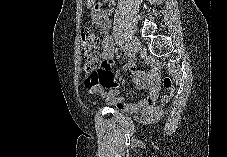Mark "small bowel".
Instances as JSON below:
<instances>
[{
  "label": "small bowel",
  "mask_w": 227,
  "mask_h": 157,
  "mask_svg": "<svg viewBox=\"0 0 227 157\" xmlns=\"http://www.w3.org/2000/svg\"><path fill=\"white\" fill-rule=\"evenodd\" d=\"M101 57L102 62L99 73L102 77L91 83L86 82V86L91 94L101 96L105 98L110 105H114L118 109L127 112L150 108L155 104L160 85V76L157 67H154L150 74L146 75L137 70L134 61L131 60L126 64V70L131 75L133 81L138 86L148 89V94L139 103L126 102L124 98L120 96L121 88L114 82L111 73V67L114 65V46L113 40L110 37H106L103 40Z\"/></svg>",
  "instance_id": "small-bowel-1"
}]
</instances>
